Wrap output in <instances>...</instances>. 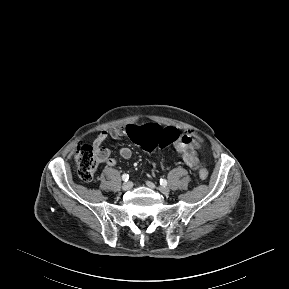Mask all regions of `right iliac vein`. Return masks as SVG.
<instances>
[{
	"mask_svg": "<svg viewBox=\"0 0 289 289\" xmlns=\"http://www.w3.org/2000/svg\"><path fill=\"white\" fill-rule=\"evenodd\" d=\"M133 187V183L132 182H125L123 183L122 185V189L127 191V190H130L131 188Z\"/></svg>",
	"mask_w": 289,
	"mask_h": 289,
	"instance_id": "1",
	"label": "right iliac vein"
}]
</instances>
